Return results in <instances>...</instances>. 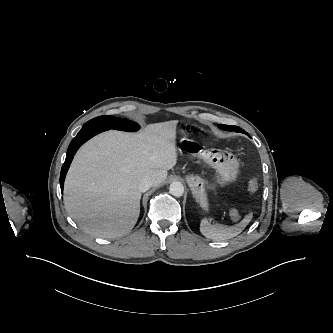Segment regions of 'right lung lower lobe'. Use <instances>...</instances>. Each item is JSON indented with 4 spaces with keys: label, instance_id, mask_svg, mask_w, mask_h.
I'll list each match as a JSON object with an SVG mask.
<instances>
[{
    "label": "right lung lower lobe",
    "instance_id": "obj_1",
    "mask_svg": "<svg viewBox=\"0 0 333 333\" xmlns=\"http://www.w3.org/2000/svg\"><path fill=\"white\" fill-rule=\"evenodd\" d=\"M109 128L107 127H101V128H96V127H89V128H82L79 133L76 135V137L72 140V142L70 143L68 150H67V155H66V159L65 162L62 166V170H61V175H60V186H61V190L63 191V184H64V179H65V175L67 173V170L70 166V163L74 157V154L76 153V151L78 150V148L84 143L86 142L88 139H90L91 137H93L94 135L108 130Z\"/></svg>",
    "mask_w": 333,
    "mask_h": 333
}]
</instances>
